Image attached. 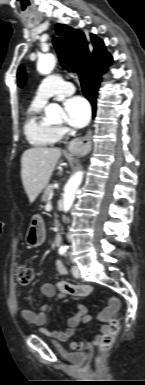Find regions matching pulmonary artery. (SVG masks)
Instances as JSON below:
<instances>
[{
  "label": "pulmonary artery",
  "mask_w": 145,
  "mask_h": 385,
  "mask_svg": "<svg viewBox=\"0 0 145 385\" xmlns=\"http://www.w3.org/2000/svg\"><path fill=\"white\" fill-rule=\"evenodd\" d=\"M74 91L75 88L72 83L64 81L59 75L53 74L46 77L39 85L33 102L45 104L51 97L69 95Z\"/></svg>",
  "instance_id": "pulmonary-artery-1"
}]
</instances>
